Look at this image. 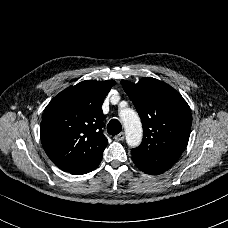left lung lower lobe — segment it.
I'll list each match as a JSON object with an SVG mask.
<instances>
[{
    "instance_id": "left-lung-lower-lobe-1",
    "label": "left lung lower lobe",
    "mask_w": 228,
    "mask_h": 228,
    "mask_svg": "<svg viewBox=\"0 0 228 228\" xmlns=\"http://www.w3.org/2000/svg\"><path fill=\"white\" fill-rule=\"evenodd\" d=\"M141 171L145 172V173H148V174H151V175H158V174H161L163 173L164 171H160V170H156V169H153V168H149L147 166H143V165H140V164H135Z\"/></svg>"
}]
</instances>
